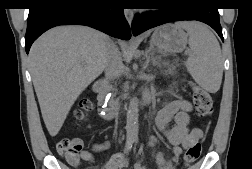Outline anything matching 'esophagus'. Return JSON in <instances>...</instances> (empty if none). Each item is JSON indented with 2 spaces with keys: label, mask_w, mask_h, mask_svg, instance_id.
<instances>
[{
  "label": "esophagus",
  "mask_w": 252,
  "mask_h": 169,
  "mask_svg": "<svg viewBox=\"0 0 252 169\" xmlns=\"http://www.w3.org/2000/svg\"><path fill=\"white\" fill-rule=\"evenodd\" d=\"M124 14H125V17H126L128 24L131 26L132 21H133V17H134L133 11L130 9H125Z\"/></svg>",
  "instance_id": "obj_1"
}]
</instances>
